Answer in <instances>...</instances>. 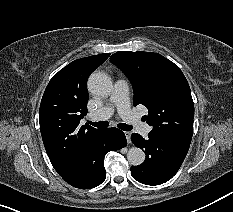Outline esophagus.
I'll return each instance as SVG.
<instances>
[{
  "instance_id": "esophagus-1",
  "label": "esophagus",
  "mask_w": 233,
  "mask_h": 212,
  "mask_svg": "<svg viewBox=\"0 0 233 212\" xmlns=\"http://www.w3.org/2000/svg\"><path fill=\"white\" fill-rule=\"evenodd\" d=\"M125 136H126L127 142L130 143L131 142V140H130L131 133L130 132H125Z\"/></svg>"
}]
</instances>
